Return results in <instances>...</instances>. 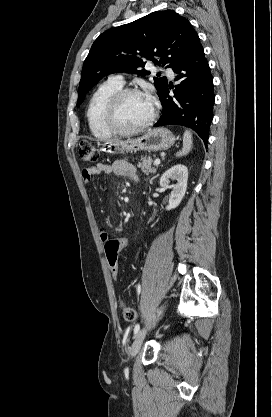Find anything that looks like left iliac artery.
Segmentation results:
<instances>
[{
    "label": "left iliac artery",
    "instance_id": "1",
    "mask_svg": "<svg viewBox=\"0 0 272 417\" xmlns=\"http://www.w3.org/2000/svg\"><path fill=\"white\" fill-rule=\"evenodd\" d=\"M139 329H140V325L136 324L135 327H134V335H136L138 333Z\"/></svg>",
    "mask_w": 272,
    "mask_h": 417
}]
</instances>
